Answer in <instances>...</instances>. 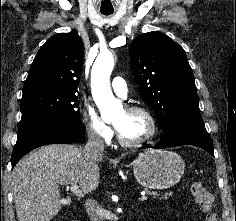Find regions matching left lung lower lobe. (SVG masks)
<instances>
[{
	"label": "left lung lower lobe",
	"instance_id": "1",
	"mask_svg": "<svg viewBox=\"0 0 236 221\" xmlns=\"http://www.w3.org/2000/svg\"><path fill=\"white\" fill-rule=\"evenodd\" d=\"M163 141L155 148L179 145H194L203 148L214 156L213 142L202 119L181 120L165 130Z\"/></svg>",
	"mask_w": 236,
	"mask_h": 221
}]
</instances>
